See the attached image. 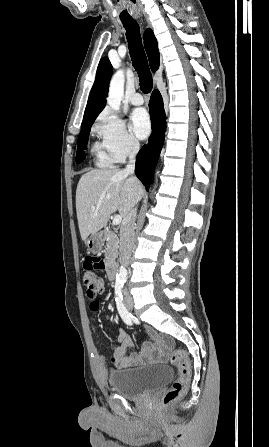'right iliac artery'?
Listing matches in <instances>:
<instances>
[{"mask_svg":"<svg viewBox=\"0 0 269 447\" xmlns=\"http://www.w3.org/2000/svg\"><path fill=\"white\" fill-rule=\"evenodd\" d=\"M123 286H124L123 284L115 285V301L118 312L123 321L128 325H132L133 315L127 310V308L123 304V295H122Z\"/></svg>","mask_w":269,"mask_h":447,"instance_id":"1","label":"right iliac artery"}]
</instances>
